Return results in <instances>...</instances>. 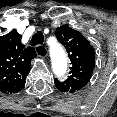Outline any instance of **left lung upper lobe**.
<instances>
[{
  "label": "left lung upper lobe",
  "instance_id": "obj_1",
  "mask_svg": "<svg viewBox=\"0 0 117 117\" xmlns=\"http://www.w3.org/2000/svg\"><path fill=\"white\" fill-rule=\"evenodd\" d=\"M55 35L69 53L72 67L66 81L55 79V85L61 92L74 93L85 87L90 81L95 67V52L89 41L67 24L56 29Z\"/></svg>",
  "mask_w": 117,
  "mask_h": 117
}]
</instances>
